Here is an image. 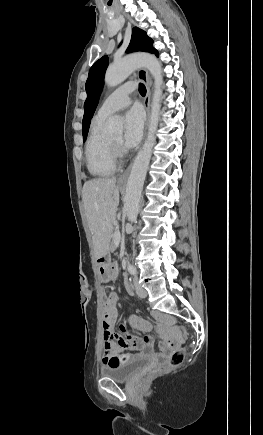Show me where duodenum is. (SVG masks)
Masks as SVG:
<instances>
[{
  "label": "duodenum",
  "instance_id": "obj_1",
  "mask_svg": "<svg viewBox=\"0 0 263 435\" xmlns=\"http://www.w3.org/2000/svg\"><path fill=\"white\" fill-rule=\"evenodd\" d=\"M126 288L129 290V285H128V283H126Z\"/></svg>",
  "mask_w": 263,
  "mask_h": 435
}]
</instances>
